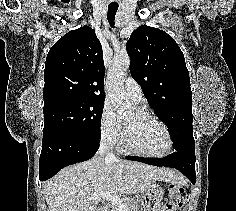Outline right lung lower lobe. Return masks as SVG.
<instances>
[{
  "label": "right lung lower lobe",
  "mask_w": 236,
  "mask_h": 211,
  "mask_svg": "<svg viewBox=\"0 0 236 211\" xmlns=\"http://www.w3.org/2000/svg\"><path fill=\"white\" fill-rule=\"evenodd\" d=\"M99 148V139L71 131L43 133L39 179L45 181L62 168L89 160Z\"/></svg>",
  "instance_id": "98d812e1"
}]
</instances>
